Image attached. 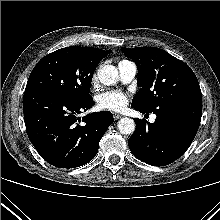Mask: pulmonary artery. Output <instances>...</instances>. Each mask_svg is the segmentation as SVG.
<instances>
[{"label": "pulmonary artery", "instance_id": "e3ab8cb5", "mask_svg": "<svg viewBox=\"0 0 220 220\" xmlns=\"http://www.w3.org/2000/svg\"><path fill=\"white\" fill-rule=\"evenodd\" d=\"M118 71L120 79L123 83H129L131 82L136 73H137V66L134 62L129 60H122L118 63ZM156 118L155 115L151 117V121H154Z\"/></svg>", "mask_w": 220, "mask_h": 220}]
</instances>
